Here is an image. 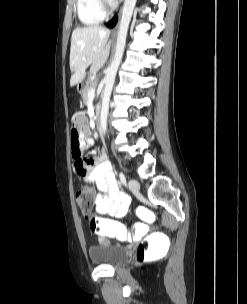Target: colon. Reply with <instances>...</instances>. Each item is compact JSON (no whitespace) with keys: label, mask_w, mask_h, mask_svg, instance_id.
Wrapping results in <instances>:
<instances>
[{"label":"colon","mask_w":247,"mask_h":304,"mask_svg":"<svg viewBox=\"0 0 247 304\" xmlns=\"http://www.w3.org/2000/svg\"><path fill=\"white\" fill-rule=\"evenodd\" d=\"M93 198V191L87 187L79 188L76 193V202L80 210L86 215H89L91 212ZM137 206L136 216L140 217L141 221H144V224H134V227H131L134 238H144L137 248V259L139 261H143L144 259H165L167 248L172 242L171 237H167L164 229H155L154 233H148L147 237H145L148 231L147 225H159V218L155 210H148L145 202H139ZM124 228L126 229L127 227L125 226ZM90 229L100 234L101 238L122 237V232L118 231L119 228L116 224L102 220L94 215H90ZM120 244L122 246L126 244L128 246H137L138 241L137 239H128V241L122 239Z\"/></svg>","instance_id":"5ec220e1"}]
</instances>
